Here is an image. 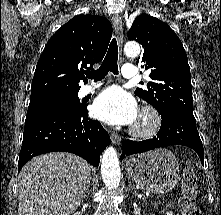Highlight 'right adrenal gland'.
I'll use <instances>...</instances> for the list:
<instances>
[{"mask_svg":"<svg viewBox=\"0 0 221 215\" xmlns=\"http://www.w3.org/2000/svg\"><path fill=\"white\" fill-rule=\"evenodd\" d=\"M89 189H90V181L87 183V186H86V188H85V190H84L83 198L86 197V193L89 191Z\"/></svg>","mask_w":221,"mask_h":215,"instance_id":"right-adrenal-gland-1","label":"right adrenal gland"}]
</instances>
